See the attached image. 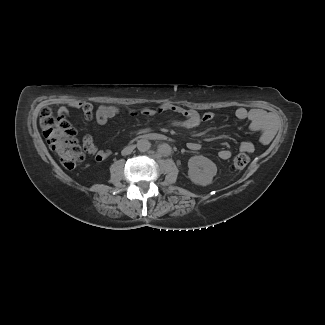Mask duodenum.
<instances>
[{
  "label": "duodenum",
  "mask_w": 325,
  "mask_h": 325,
  "mask_svg": "<svg viewBox=\"0 0 325 325\" xmlns=\"http://www.w3.org/2000/svg\"><path fill=\"white\" fill-rule=\"evenodd\" d=\"M142 137L159 141H164L166 139V136L161 133H146Z\"/></svg>",
  "instance_id": "410a0bca"
}]
</instances>
